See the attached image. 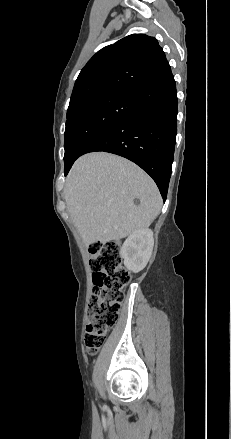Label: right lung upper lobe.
I'll list each match as a JSON object with an SVG mask.
<instances>
[{
    "label": "right lung upper lobe",
    "instance_id": "cb5924a9",
    "mask_svg": "<svg viewBox=\"0 0 231 439\" xmlns=\"http://www.w3.org/2000/svg\"><path fill=\"white\" fill-rule=\"evenodd\" d=\"M169 73L165 53L154 37L129 35L88 61L75 82L68 110L97 96L135 93Z\"/></svg>",
    "mask_w": 231,
    "mask_h": 439
}]
</instances>
